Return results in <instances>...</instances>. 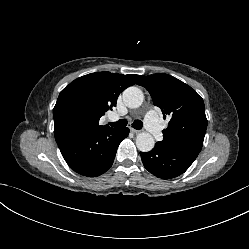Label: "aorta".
Returning a JSON list of instances; mask_svg holds the SVG:
<instances>
[{"label": "aorta", "instance_id": "aorta-1", "mask_svg": "<svg viewBox=\"0 0 249 249\" xmlns=\"http://www.w3.org/2000/svg\"><path fill=\"white\" fill-rule=\"evenodd\" d=\"M144 99L143 92L138 87H129L123 92L124 103L130 108L141 106ZM155 140L150 133L142 132L136 137V146L141 152H149L154 148Z\"/></svg>", "mask_w": 249, "mask_h": 249}]
</instances>
